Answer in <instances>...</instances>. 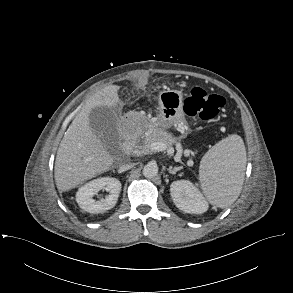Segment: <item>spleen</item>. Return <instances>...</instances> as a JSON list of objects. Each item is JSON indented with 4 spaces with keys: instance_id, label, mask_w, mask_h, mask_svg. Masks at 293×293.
<instances>
[{
    "instance_id": "spleen-1",
    "label": "spleen",
    "mask_w": 293,
    "mask_h": 293,
    "mask_svg": "<svg viewBox=\"0 0 293 293\" xmlns=\"http://www.w3.org/2000/svg\"><path fill=\"white\" fill-rule=\"evenodd\" d=\"M246 160L243 139L236 134L222 139L203 156L199 180L212 205L225 208L238 198L244 182Z\"/></svg>"
}]
</instances>
